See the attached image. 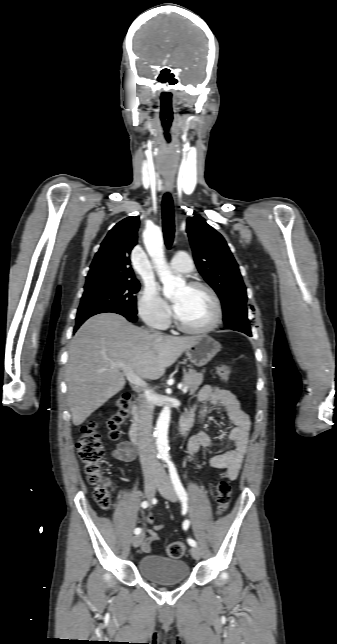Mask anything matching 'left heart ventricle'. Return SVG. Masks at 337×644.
Returning <instances> with one entry per match:
<instances>
[{
	"label": "left heart ventricle",
	"mask_w": 337,
	"mask_h": 644,
	"mask_svg": "<svg viewBox=\"0 0 337 644\" xmlns=\"http://www.w3.org/2000/svg\"><path fill=\"white\" fill-rule=\"evenodd\" d=\"M172 301L176 305L174 313L188 327L203 328L214 317L212 299L203 289L183 286L174 294Z\"/></svg>",
	"instance_id": "left-heart-ventricle-1"
}]
</instances>
